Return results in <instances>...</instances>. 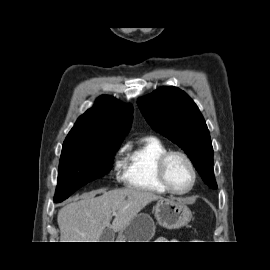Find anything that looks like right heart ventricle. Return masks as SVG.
<instances>
[{"label": "right heart ventricle", "instance_id": "e07e8e85", "mask_svg": "<svg viewBox=\"0 0 270 270\" xmlns=\"http://www.w3.org/2000/svg\"><path fill=\"white\" fill-rule=\"evenodd\" d=\"M167 151L168 148L158 138H143L125 158V185L152 194L167 193L157 175V162Z\"/></svg>", "mask_w": 270, "mask_h": 270}]
</instances>
